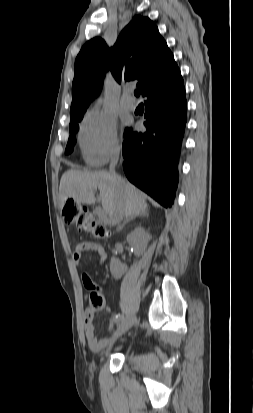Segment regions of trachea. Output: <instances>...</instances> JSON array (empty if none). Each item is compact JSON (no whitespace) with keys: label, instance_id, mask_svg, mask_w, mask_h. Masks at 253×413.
Here are the masks:
<instances>
[{"label":"trachea","instance_id":"3493384b","mask_svg":"<svg viewBox=\"0 0 253 413\" xmlns=\"http://www.w3.org/2000/svg\"><path fill=\"white\" fill-rule=\"evenodd\" d=\"M140 93H141V91H140V90H136V91L134 92L135 96H137V97H139V96H140Z\"/></svg>","mask_w":253,"mask_h":413}]
</instances>
